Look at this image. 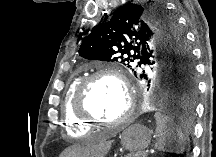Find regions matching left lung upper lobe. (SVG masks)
Here are the masks:
<instances>
[{"instance_id": "obj_1", "label": "left lung upper lobe", "mask_w": 216, "mask_h": 157, "mask_svg": "<svg viewBox=\"0 0 216 157\" xmlns=\"http://www.w3.org/2000/svg\"><path fill=\"white\" fill-rule=\"evenodd\" d=\"M79 55L128 67L136 60L139 66L152 65L164 92L170 85L176 91L196 86L195 66L184 35L176 19L158 4L123 5L108 22L80 38Z\"/></svg>"}]
</instances>
